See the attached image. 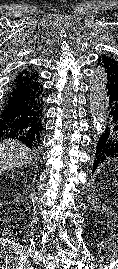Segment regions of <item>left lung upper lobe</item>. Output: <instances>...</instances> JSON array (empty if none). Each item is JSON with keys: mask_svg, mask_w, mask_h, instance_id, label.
Instances as JSON below:
<instances>
[{"mask_svg": "<svg viewBox=\"0 0 118 269\" xmlns=\"http://www.w3.org/2000/svg\"><path fill=\"white\" fill-rule=\"evenodd\" d=\"M98 61L107 77V91L118 94V61L108 56H102Z\"/></svg>", "mask_w": 118, "mask_h": 269, "instance_id": "left-lung-upper-lobe-1", "label": "left lung upper lobe"}]
</instances>
